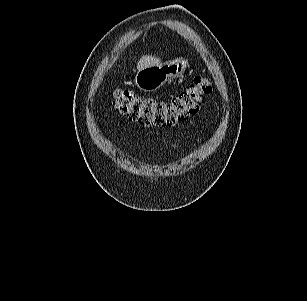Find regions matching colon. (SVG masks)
<instances>
[{"label": "colon", "mask_w": 307, "mask_h": 301, "mask_svg": "<svg viewBox=\"0 0 307 301\" xmlns=\"http://www.w3.org/2000/svg\"><path fill=\"white\" fill-rule=\"evenodd\" d=\"M212 91L205 76H197L183 91L168 100L140 97L129 91L112 93L114 106L130 120L146 126L168 127L197 113L204 95Z\"/></svg>", "instance_id": "1"}]
</instances>
